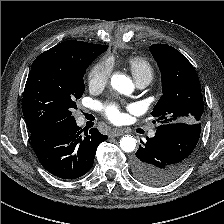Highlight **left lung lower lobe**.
<instances>
[{
	"label": "left lung lower lobe",
	"instance_id": "1",
	"mask_svg": "<svg viewBox=\"0 0 224 224\" xmlns=\"http://www.w3.org/2000/svg\"><path fill=\"white\" fill-rule=\"evenodd\" d=\"M201 133L200 123H169L157 127L153 138L141 143L132 160L135 177L148 185H167L188 167Z\"/></svg>",
	"mask_w": 224,
	"mask_h": 224
}]
</instances>
